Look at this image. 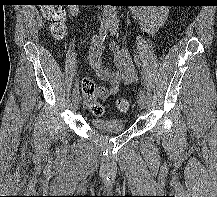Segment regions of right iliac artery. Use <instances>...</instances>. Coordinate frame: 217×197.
Wrapping results in <instances>:
<instances>
[{
    "label": "right iliac artery",
    "instance_id": "obj_1",
    "mask_svg": "<svg viewBox=\"0 0 217 197\" xmlns=\"http://www.w3.org/2000/svg\"><path fill=\"white\" fill-rule=\"evenodd\" d=\"M108 26H109V22L108 21H102V23L100 25L99 34H100V38L103 41L106 38ZM77 98H79V89H78V84H75V88H74L73 94H72V99H77Z\"/></svg>",
    "mask_w": 217,
    "mask_h": 197
}]
</instances>
